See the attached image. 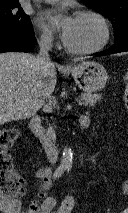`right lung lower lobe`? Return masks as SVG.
Instances as JSON below:
<instances>
[{"mask_svg": "<svg viewBox=\"0 0 128 213\" xmlns=\"http://www.w3.org/2000/svg\"><path fill=\"white\" fill-rule=\"evenodd\" d=\"M35 43L32 28L28 31L0 32V53L28 52L34 48Z\"/></svg>", "mask_w": 128, "mask_h": 213, "instance_id": "obj_1", "label": "right lung lower lobe"}]
</instances>
